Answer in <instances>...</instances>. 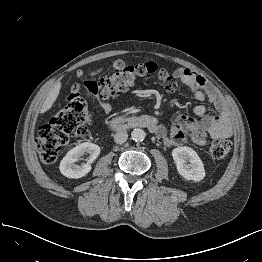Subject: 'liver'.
Listing matches in <instances>:
<instances>
[{"label": "liver", "mask_w": 262, "mask_h": 262, "mask_svg": "<svg viewBox=\"0 0 262 262\" xmlns=\"http://www.w3.org/2000/svg\"><path fill=\"white\" fill-rule=\"evenodd\" d=\"M60 89H61V82H57L54 87L50 90V92L48 93L42 108L40 110V113L43 114L45 112H47L49 109H51V107L53 106L54 102L56 101L59 93H60Z\"/></svg>", "instance_id": "liver-1"}]
</instances>
